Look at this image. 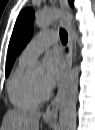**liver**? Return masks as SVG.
Returning a JSON list of instances; mask_svg holds the SVG:
<instances>
[{"label": "liver", "mask_w": 95, "mask_h": 130, "mask_svg": "<svg viewBox=\"0 0 95 130\" xmlns=\"http://www.w3.org/2000/svg\"><path fill=\"white\" fill-rule=\"evenodd\" d=\"M39 111L13 109L6 112L1 130H39Z\"/></svg>", "instance_id": "6515ba94"}]
</instances>
